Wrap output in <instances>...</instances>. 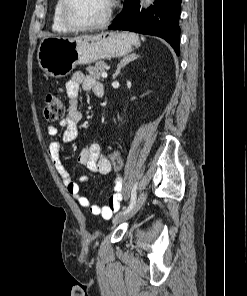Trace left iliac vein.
<instances>
[{"instance_id": "4c4485c4", "label": "left iliac vein", "mask_w": 247, "mask_h": 296, "mask_svg": "<svg viewBox=\"0 0 247 296\" xmlns=\"http://www.w3.org/2000/svg\"><path fill=\"white\" fill-rule=\"evenodd\" d=\"M145 201V193L142 192L138 199H137V202L135 203V205L133 206V208L131 210H129L128 212H121L119 213L118 215H116L112 222L114 224H118V223H121L127 219H129L130 217H132L133 215H135L137 213V211L140 209V207L143 205Z\"/></svg>"}]
</instances>
